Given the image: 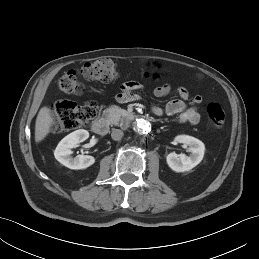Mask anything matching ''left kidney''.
I'll list each match as a JSON object with an SVG mask.
<instances>
[{
    "mask_svg": "<svg viewBox=\"0 0 259 259\" xmlns=\"http://www.w3.org/2000/svg\"><path fill=\"white\" fill-rule=\"evenodd\" d=\"M175 142L189 146L190 155L176 154L175 152L168 154L166 161L173 171H189L202 161L205 152V145L202 141L192 136L179 135L175 138Z\"/></svg>",
    "mask_w": 259,
    "mask_h": 259,
    "instance_id": "1",
    "label": "left kidney"
}]
</instances>
